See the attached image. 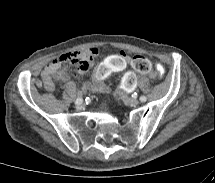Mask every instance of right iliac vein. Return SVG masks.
Instances as JSON below:
<instances>
[{
    "label": "right iliac vein",
    "instance_id": "63e3f726",
    "mask_svg": "<svg viewBox=\"0 0 215 183\" xmlns=\"http://www.w3.org/2000/svg\"><path fill=\"white\" fill-rule=\"evenodd\" d=\"M76 108H77L78 110H81V109L83 108V103L77 104Z\"/></svg>",
    "mask_w": 215,
    "mask_h": 183
}]
</instances>
